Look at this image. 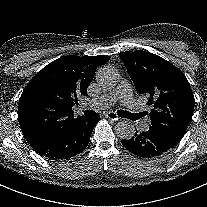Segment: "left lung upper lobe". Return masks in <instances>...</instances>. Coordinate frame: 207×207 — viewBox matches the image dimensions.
I'll use <instances>...</instances> for the list:
<instances>
[{
  "mask_svg": "<svg viewBox=\"0 0 207 207\" xmlns=\"http://www.w3.org/2000/svg\"><path fill=\"white\" fill-rule=\"evenodd\" d=\"M123 61L139 94L148 97L150 129L177 145L192 118L195 99L185 75L158 55L135 51L121 52Z\"/></svg>",
  "mask_w": 207,
  "mask_h": 207,
  "instance_id": "obj_1",
  "label": "left lung upper lobe"
}]
</instances>
